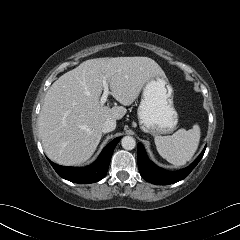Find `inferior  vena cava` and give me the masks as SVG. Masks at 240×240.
<instances>
[{"instance_id":"1","label":"inferior vena cava","mask_w":240,"mask_h":240,"mask_svg":"<svg viewBox=\"0 0 240 240\" xmlns=\"http://www.w3.org/2000/svg\"><path fill=\"white\" fill-rule=\"evenodd\" d=\"M116 128V120L107 119L101 127L103 133H108L113 131Z\"/></svg>"}]
</instances>
